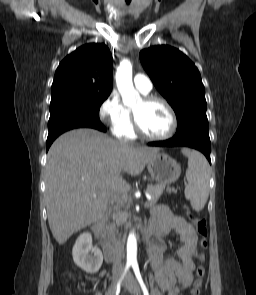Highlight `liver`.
<instances>
[{
	"label": "liver",
	"instance_id": "liver-1",
	"mask_svg": "<svg viewBox=\"0 0 256 295\" xmlns=\"http://www.w3.org/2000/svg\"><path fill=\"white\" fill-rule=\"evenodd\" d=\"M159 148L130 146L92 129H76L51 145L45 168L46 208L51 232L63 245L99 221L114 193L130 185L121 172L140 174Z\"/></svg>",
	"mask_w": 256,
	"mask_h": 295
}]
</instances>
